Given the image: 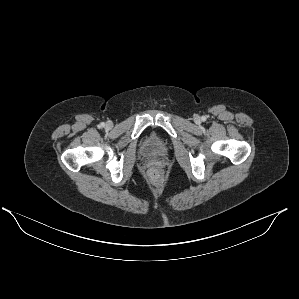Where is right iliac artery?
<instances>
[{
  "instance_id": "1",
  "label": "right iliac artery",
  "mask_w": 299,
  "mask_h": 299,
  "mask_svg": "<svg viewBox=\"0 0 299 299\" xmlns=\"http://www.w3.org/2000/svg\"><path fill=\"white\" fill-rule=\"evenodd\" d=\"M104 126H105V124H104V123H101V124H100V127H104Z\"/></svg>"
}]
</instances>
